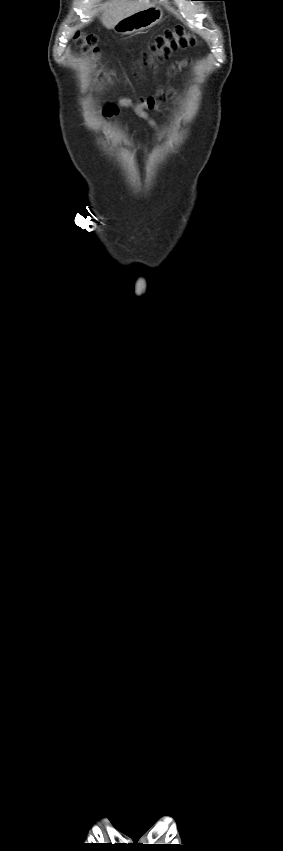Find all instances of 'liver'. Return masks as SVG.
Instances as JSON below:
<instances>
[{
  "instance_id": "liver-1",
  "label": "liver",
  "mask_w": 283,
  "mask_h": 851,
  "mask_svg": "<svg viewBox=\"0 0 283 851\" xmlns=\"http://www.w3.org/2000/svg\"><path fill=\"white\" fill-rule=\"evenodd\" d=\"M152 5L149 0H110L104 4L100 20L106 28L112 29L124 17Z\"/></svg>"
}]
</instances>
